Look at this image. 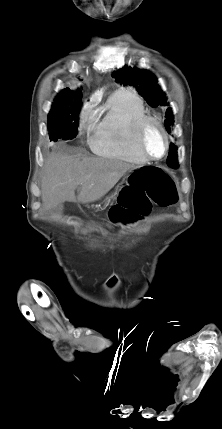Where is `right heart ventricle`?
<instances>
[{"instance_id": "e07e8e85", "label": "right heart ventricle", "mask_w": 222, "mask_h": 429, "mask_svg": "<svg viewBox=\"0 0 222 429\" xmlns=\"http://www.w3.org/2000/svg\"><path fill=\"white\" fill-rule=\"evenodd\" d=\"M103 110L104 117L90 137L92 150L108 158L147 163L135 142L137 121L146 114L142 99L133 90L119 89L111 94Z\"/></svg>"}]
</instances>
